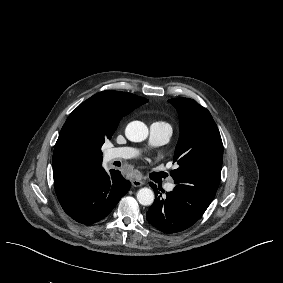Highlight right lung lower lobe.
Masks as SVG:
<instances>
[{"label": "right lung lower lobe", "instance_id": "obj_1", "mask_svg": "<svg viewBox=\"0 0 283 283\" xmlns=\"http://www.w3.org/2000/svg\"><path fill=\"white\" fill-rule=\"evenodd\" d=\"M129 189L130 182L119 171L110 170L108 175L99 167L73 185L56 190V195L71 218L92 224L106 217Z\"/></svg>", "mask_w": 283, "mask_h": 283}]
</instances>
